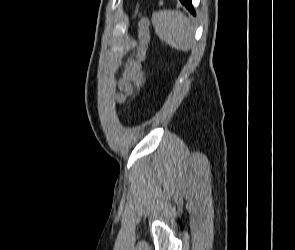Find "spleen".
<instances>
[{"label":"spleen","mask_w":295,"mask_h":250,"mask_svg":"<svg viewBox=\"0 0 295 250\" xmlns=\"http://www.w3.org/2000/svg\"><path fill=\"white\" fill-rule=\"evenodd\" d=\"M152 23L159 39L178 51H188L194 43V28L181 12L160 10L152 15Z\"/></svg>","instance_id":"obj_1"}]
</instances>
